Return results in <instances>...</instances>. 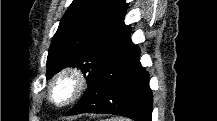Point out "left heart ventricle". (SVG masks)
Wrapping results in <instances>:
<instances>
[{
  "mask_svg": "<svg viewBox=\"0 0 217 121\" xmlns=\"http://www.w3.org/2000/svg\"><path fill=\"white\" fill-rule=\"evenodd\" d=\"M66 92V87H63L57 94L58 98H61Z\"/></svg>",
  "mask_w": 217,
  "mask_h": 121,
  "instance_id": "left-heart-ventricle-1",
  "label": "left heart ventricle"
}]
</instances>
